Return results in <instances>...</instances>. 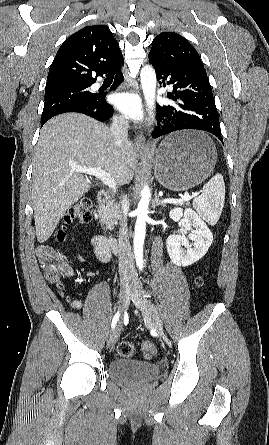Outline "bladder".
<instances>
[{
  "instance_id": "obj_1",
  "label": "bladder",
  "mask_w": 269,
  "mask_h": 445,
  "mask_svg": "<svg viewBox=\"0 0 269 445\" xmlns=\"http://www.w3.org/2000/svg\"><path fill=\"white\" fill-rule=\"evenodd\" d=\"M109 374L112 379L125 384L147 383L160 374L156 364L144 363L130 359H115L109 365Z\"/></svg>"
}]
</instances>
